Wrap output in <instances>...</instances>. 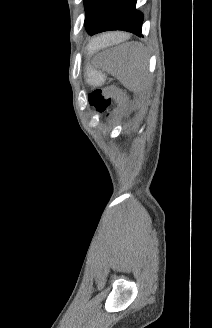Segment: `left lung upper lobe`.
<instances>
[{
  "label": "left lung upper lobe",
  "mask_w": 212,
  "mask_h": 328,
  "mask_svg": "<svg viewBox=\"0 0 212 328\" xmlns=\"http://www.w3.org/2000/svg\"><path fill=\"white\" fill-rule=\"evenodd\" d=\"M107 0H84L85 6V28L90 31L96 23V20Z\"/></svg>",
  "instance_id": "left-lung-upper-lobe-1"
}]
</instances>
